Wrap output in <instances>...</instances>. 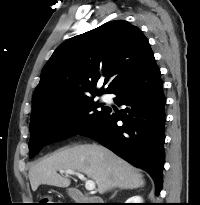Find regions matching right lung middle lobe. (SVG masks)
Segmentation results:
<instances>
[{
	"label": "right lung middle lobe",
	"instance_id": "obj_1",
	"mask_svg": "<svg viewBox=\"0 0 200 205\" xmlns=\"http://www.w3.org/2000/svg\"><path fill=\"white\" fill-rule=\"evenodd\" d=\"M107 109L90 96L65 99L46 106L30 120V158L44 145L67 139L94 126Z\"/></svg>",
	"mask_w": 200,
	"mask_h": 205
}]
</instances>
